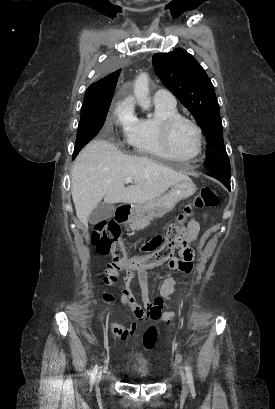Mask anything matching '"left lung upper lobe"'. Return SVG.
<instances>
[{"label": "left lung upper lobe", "mask_w": 275, "mask_h": 409, "mask_svg": "<svg viewBox=\"0 0 275 409\" xmlns=\"http://www.w3.org/2000/svg\"><path fill=\"white\" fill-rule=\"evenodd\" d=\"M152 59L157 76L191 112L205 134L206 170L229 176L230 163L223 141L219 105L207 74L184 49L157 53Z\"/></svg>", "instance_id": "obj_1"}]
</instances>
